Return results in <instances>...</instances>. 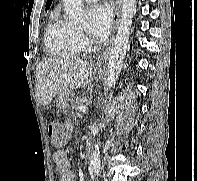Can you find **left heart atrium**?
<instances>
[{
    "instance_id": "obj_1",
    "label": "left heart atrium",
    "mask_w": 197,
    "mask_h": 181,
    "mask_svg": "<svg viewBox=\"0 0 197 181\" xmlns=\"http://www.w3.org/2000/svg\"><path fill=\"white\" fill-rule=\"evenodd\" d=\"M88 29L89 36L94 41L103 40L112 24V11L108 5L98 4L89 8L88 12Z\"/></svg>"
}]
</instances>
